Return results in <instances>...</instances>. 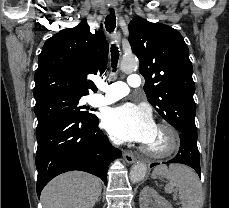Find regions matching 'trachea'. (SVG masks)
<instances>
[{
    "label": "trachea",
    "mask_w": 229,
    "mask_h": 208,
    "mask_svg": "<svg viewBox=\"0 0 229 208\" xmlns=\"http://www.w3.org/2000/svg\"><path fill=\"white\" fill-rule=\"evenodd\" d=\"M116 26V16L114 9H109V14L105 18V27L108 32H113ZM119 51L117 46H111V66L113 71L117 70Z\"/></svg>",
    "instance_id": "1"
}]
</instances>
